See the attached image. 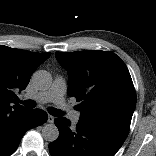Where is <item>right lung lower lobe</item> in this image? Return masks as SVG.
<instances>
[{"mask_svg": "<svg viewBox=\"0 0 156 156\" xmlns=\"http://www.w3.org/2000/svg\"><path fill=\"white\" fill-rule=\"evenodd\" d=\"M47 113L40 109H23L0 112V156L11 155L22 136L31 128L45 123Z\"/></svg>", "mask_w": 156, "mask_h": 156, "instance_id": "right-lung-lower-lobe-1", "label": "right lung lower lobe"}]
</instances>
